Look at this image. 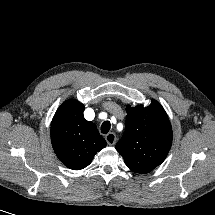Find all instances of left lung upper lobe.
Here are the masks:
<instances>
[{
    "mask_svg": "<svg viewBox=\"0 0 215 215\" xmlns=\"http://www.w3.org/2000/svg\"><path fill=\"white\" fill-rule=\"evenodd\" d=\"M126 130L116 144L125 164L136 173H148L166 158L172 127L163 107L152 100L147 107H126Z\"/></svg>",
    "mask_w": 215,
    "mask_h": 215,
    "instance_id": "5c2ea615",
    "label": "left lung upper lobe"
}]
</instances>
